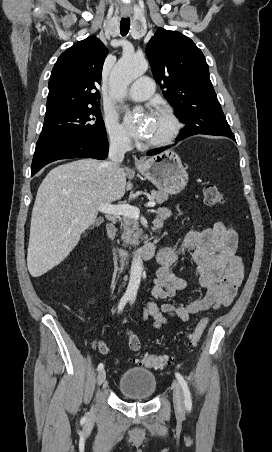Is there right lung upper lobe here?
I'll list each match as a JSON object with an SVG mask.
<instances>
[{
    "label": "right lung upper lobe",
    "instance_id": "cb5924a9",
    "mask_svg": "<svg viewBox=\"0 0 272 452\" xmlns=\"http://www.w3.org/2000/svg\"><path fill=\"white\" fill-rule=\"evenodd\" d=\"M104 44L94 36L75 43L58 58L49 79L46 114L100 104Z\"/></svg>",
    "mask_w": 272,
    "mask_h": 452
}]
</instances>
